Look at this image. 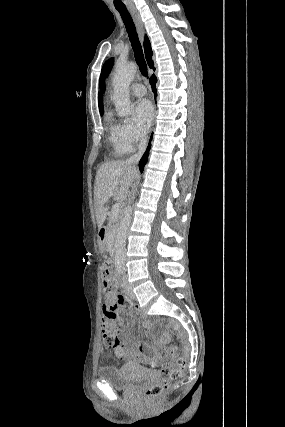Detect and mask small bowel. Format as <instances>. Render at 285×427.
<instances>
[{"instance_id":"obj_1","label":"small bowel","mask_w":285,"mask_h":427,"mask_svg":"<svg viewBox=\"0 0 285 427\" xmlns=\"http://www.w3.org/2000/svg\"><path fill=\"white\" fill-rule=\"evenodd\" d=\"M116 306L115 308L118 310L116 313V324L119 327H122L125 322V309L130 305L127 296L122 293L118 294L116 297ZM132 312H135L133 308H131ZM104 318L105 321V309L103 307ZM125 337L123 338V351L116 355V358L120 361L127 362H140L145 360V353H143L139 348L135 340L133 339L131 333L128 330H124Z\"/></svg>"}]
</instances>
